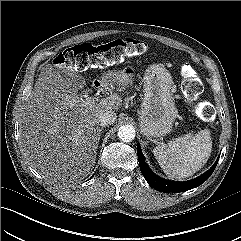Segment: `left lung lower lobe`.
<instances>
[{"instance_id":"0a47b994","label":"left lung lower lobe","mask_w":241,"mask_h":241,"mask_svg":"<svg viewBox=\"0 0 241 241\" xmlns=\"http://www.w3.org/2000/svg\"><path fill=\"white\" fill-rule=\"evenodd\" d=\"M137 155H138V159H139L140 170H141L144 178L147 180L149 185H151V187H153L154 189H156L160 192H164V193L184 192V191H187V190L200 186L213 173V171L216 168V165L218 163V160H219L218 159L215 162V164L207 172H205L203 175H201L193 180L186 181V182H174V181L162 179V178L158 177L157 175H155L150 170V168L148 167V165L145 162V159L141 152L140 146H138V148H137Z\"/></svg>"}]
</instances>
